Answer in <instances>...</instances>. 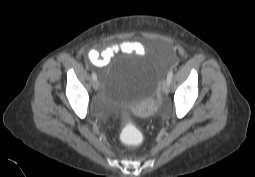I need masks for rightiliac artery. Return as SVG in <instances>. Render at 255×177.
Here are the masks:
<instances>
[{"label": "right iliac artery", "mask_w": 255, "mask_h": 177, "mask_svg": "<svg viewBox=\"0 0 255 177\" xmlns=\"http://www.w3.org/2000/svg\"><path fill=\"white\" fill-rule=\"evenodd\" d=\"M92 79L97 80V75L94 72L92 73Z\"/></svg>", "instance_id": "obj_1"}]
</instances>
